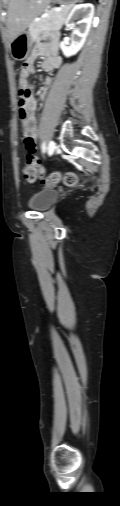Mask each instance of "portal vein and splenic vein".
I'll return each instance as SVG.
<instances>
[{"label":"portal vein and splenic vein","mask_w":120,"mask_h":506,"mask_svg":"<svg viewBox=\"0 0 120 506\" xmlns=\"http://www.w3.org/2000/svg\"><path fill=\"white\" fill-rule=\"evenodd\" d=\"M61 8H56V11H59Z\"/></svg>","instance_id":"portal-vein-and-splenic-vein-1"}]
</instances>
